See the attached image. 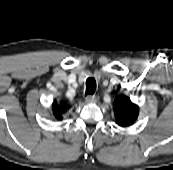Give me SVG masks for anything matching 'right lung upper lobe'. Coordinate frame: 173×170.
I'll return each mask as SVG.
<instances>
[{
  "label": "right lung upper lobe",
  "instance_id": "right-lung-upper-lobe-1",
  "mask_svg": "<svg viewBox=\"0 0 173 170\" xmlns=\"http://www.w3.org/2000/svg\"><path fill=\"white\" fill-rule=\"evenodd\" d=\"M69 107L66 106L64 103L60 104H53V115L56 119L62 120V114L67 111Z\"/></svg>",
  "mask_w": 173,
  "mask_h": 170
}]
</instances>
